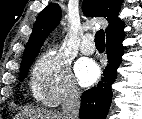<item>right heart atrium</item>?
<instances>
[{"label":"right heart atrium","instance_id":"right-heart-atrium-1","mask_svg":"<svg viewBox=\"0 0 142 119\" xmlns=\"http://www.w3.org/2000/svg\"><path fill=\"white\" fill-rule=\"evenodd\" d=\"M31 86L34 97L50 107L79 97L69 63L56 49L44 52L37 59L32 68Z\"/></svg>","mask_w":142,"mask_h":119}]
</instances>
